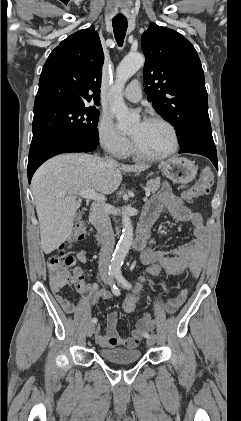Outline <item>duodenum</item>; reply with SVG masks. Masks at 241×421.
I'll list each match as a JSON object with an SVG mask.
<instances>
[{
    "instance_id": "1",
    "label": "duodenum",
    "mask_w": 241,
    "mask_h": 421,
    "mask_svg": "<svg viewBox=\"0 0 241 421\" xmlns=\"http://www.w3.org/2000/svg\"><path fill=\"white\" fill-rule=\"evenodd\" d=\"M155 219L151 216H144L136 233L134 247L140 250L144 247L146 240L149 237L151 227Z\"/></svg>"
}]
</instances>
